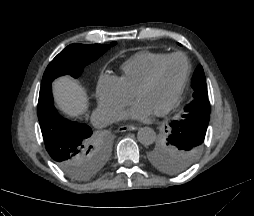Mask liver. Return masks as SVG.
<instances>
[{
  "label": "liver",
  "instance_id": "1",
  "mask_svg": "<svg viewBox=\"0 0 254 216\" xmlns=\"http://www.w3.org/2000/svg\"><path fill=\"white\" fill-rule=\"evenodd\" d=\"M55 102L58 109L69 117H78L88 108L86 91L77 81L64 76L53 83Z\"/></svg>",
  "mask_w": 254,
  "mask_h": 216
}]
</instances>
